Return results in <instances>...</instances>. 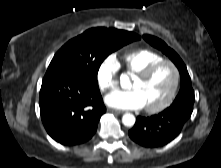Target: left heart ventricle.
I'll use <instances>...</instances> for the list:
<instances>
[{"mask_svg":"<svg viewBox=\"0 0 221 168\" xmlns=\"http://www.w3.org/2000/svg\"><path fill=\"white\" fill-rule=\"evenodd\" d=\"M173 82V69L169 65H162L146 80L135 77L131 88L141 94L145 107H152L162 103L167 98Z\"/></svg>","mask_w":221,"mask_h":168,"instance_id":"b2bd125f","label":"left heart ventricle"}]
</instances>
